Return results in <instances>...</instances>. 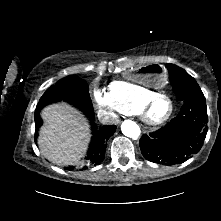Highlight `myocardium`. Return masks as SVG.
I'll list each match as a JSON object with an SVG mask.
<instances>
[{"mask_svg":"<svg viewBox=\"0 0 221 221\" xmlns=\"http://www.w3.org/2000/svg\"><path fill=\"white\" fill-rule=\"evenodd\" d=\"M159 99H166L167 101H169L170 110L164 117L159 118V119H153L149 115V110L152 107V105ZM174 110H175V104H174L173 99L169 95L163 94V93H155L153 96L149 97L148 99H146L140 104L138 108V113L141 115L145 123H147L148 125L155 126V125L163 124L166 121H168L173 115Z\"/></svg>","mask_w":221,"mask_h":221,"instance_id":"1","label":"myocardium"}]
</instances>
